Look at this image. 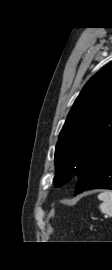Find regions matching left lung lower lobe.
<instances>
[{
    "instance_id": "0a47b994",
    "label": "left lung lower lobe",
    "mask_w": 112,
    "mask_h": 270,
    "mask_svg": "<svg viewBox=\"0 0 112 270\" xmlns=\"http://www.w3.org/2000/svg\"><path fill=\"white\" fill-rule=\"evenodd\" d=\"M112 189V147L96 162L92 169L78 181L75 195L88 189Z\"/></svg>"
}]
</instances>
